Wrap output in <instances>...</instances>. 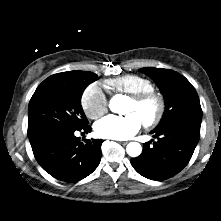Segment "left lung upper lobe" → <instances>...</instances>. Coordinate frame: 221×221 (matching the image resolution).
Masks as SVG:
<instances>
[{"label":"left lung upper lobe","instance_id":"5c2ea615","mask_svg":"<svg viewBox=\"0 0 221 221\" xmlns=\"http://www.w3.org/2000/svg\"><path fill=\"white\" fill-rule=\"evenodd\" d=\"M141 71L149 75L165 98V112L155 128H161L179 119L201 123L202 109L195 88L178 72L169 69L146 67Z\"/></svg>","mask_w":221,"mask_h":221}]
</instances>
